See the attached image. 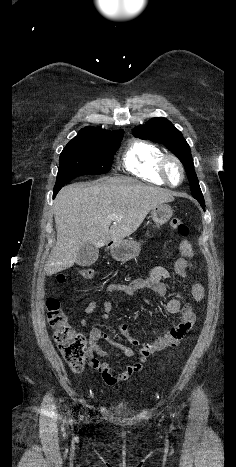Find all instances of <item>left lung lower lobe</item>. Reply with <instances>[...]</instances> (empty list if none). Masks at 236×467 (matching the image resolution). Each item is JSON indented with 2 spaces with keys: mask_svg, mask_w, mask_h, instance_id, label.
Here are the masks:
<instances>
[{
  "mask_svg": "<svg viewBox=\"0 0 236 467\" xmlns=\"http://www.w3.org/2000/svg\"><path fill=\"white\" fill-rule=\"evenodd\" d=\"M202 206V208L205 210V204H204V198H195Z\"/></svg>",
  "mask_w": 236,
  "mask_h": 467,
  "instance_id": "1",
  "label": "left lung lower lobe"
}]
</instances>
